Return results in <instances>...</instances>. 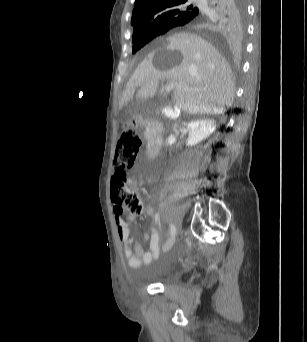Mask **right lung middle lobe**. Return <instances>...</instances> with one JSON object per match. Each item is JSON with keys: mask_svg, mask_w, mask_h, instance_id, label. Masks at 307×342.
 <instances>
[{"mask_svg": "<svg viewBox=\"0 0 307 342\" xmlns=\"http://www.w3.org/2000/svg\"><path fill=\"white\" fill-rule=\"evenodd\" d=\"M166 31H150L133 35V48L132 53H136L144 45L150 42L155 37L164 34Z\"/></svg>", "mask_w": 307, "mask_h": 342, "instance_id": "1", "label": "right lung middle lobe"}]
</instances>
